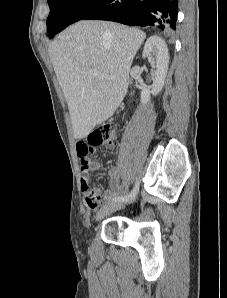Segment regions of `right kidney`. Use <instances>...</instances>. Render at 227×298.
<instances>
[{
	"instance_id": "ca27d5eb",
	"label": "right kidney",
	"mask_w": 227,
	"mask_h": 298,
	"mask_svg": "<svg viewBox=\"0 0 227 298\" xmlns=\"http://www.w3.org/2000/svg\"><path fill=\"white\" fill-rule=\"evenodd\" d=\"M142 57L144 59L147 58L156 68L152 90L141 92V102L147 104L150 100V95L156 96L164 86L169 64V52L165 41L158 36L148 38L143 49Z\"/></svg>"
}]
</instances>
